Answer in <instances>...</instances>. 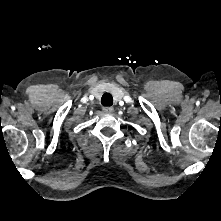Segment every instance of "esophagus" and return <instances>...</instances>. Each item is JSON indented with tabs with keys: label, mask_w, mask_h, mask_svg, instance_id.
<instances>
[{
	"label": "esophagus",
	"mask_w": 221,
	"mask_h": 221,
	"mask_svg": "<svg viewBox=\"0 0 221 221\" xmlns=\"http://www.w3.org/2000/svg\"><path fill=\"white\" fill-rule=\"evenodd\" d=\"M103 111L105 113H112L114 111L113 107H104L103 108Z\"/></svg>",
	"instance_id": "34e87169"
}]
</instances>
